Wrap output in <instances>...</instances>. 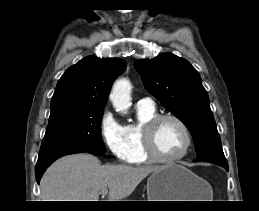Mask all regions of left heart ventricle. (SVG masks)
<instances>
[{
    "label": "left heart ventricle",
    "instance_id": "left-heart-ventricle-1",
    "mask_svg": "<svg viewBox=\"0 0 259 211\" xmlns=\"http://www.w3.org/2000/svg\"><path fill=\"white\" fill-rule=\"evenodd\" d=\"M154 141L157 152L168 158L178 155L186 144L182 129L172 120H165L158 125Z\"/></svg>",
    "mask_w": 259,
    "mask_h": 211
}]
</instances>
